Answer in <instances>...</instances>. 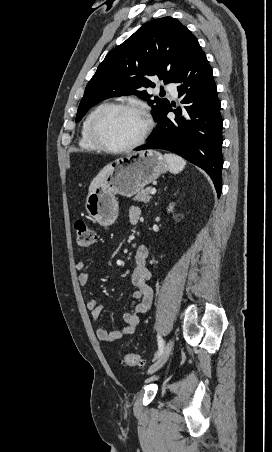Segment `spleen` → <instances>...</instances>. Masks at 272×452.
<instances>
[{"label":"spleen","instance_id":"spleen-1","mask_svg":"<svg viewBox=\"0 0 272 452\" xmlns=\"http://www.w3.org/2000/svg\"><path fill=\"white\" fill-rule=\"evenodd\" d=\"M164 159L168 164V170L172 174H178L186 165V161L176 154L166 153L164 154Z\"/></svg>","mask_w":272,"mask_h":452}]
</instances>
